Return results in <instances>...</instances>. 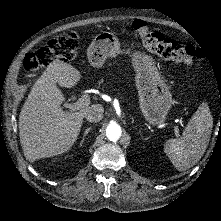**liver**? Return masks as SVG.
<instances>
[{
	"label": "liver",
	"mask_w": 221,
	"mask_h": 221,
	"mask_svg": "<svg viewBox=\"0 0 221 221\" xmlns=\"http://www.w3.org/2000/svg\"><path fill=\"white\" fill-rule=\"evenodd\" d=\"M78 80V71L56 60L33 84L19 114V137L27 160L34 161L67 150L78 135L84 115L94 109H103L100 104L72 113L61 108L64 97L55 81L71 87Z\"/></svg>",
	"instance_id": "6515ba94"
}]
</instances>
